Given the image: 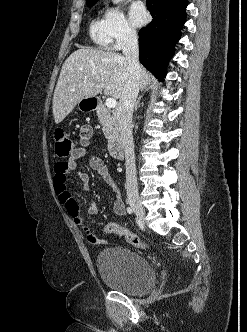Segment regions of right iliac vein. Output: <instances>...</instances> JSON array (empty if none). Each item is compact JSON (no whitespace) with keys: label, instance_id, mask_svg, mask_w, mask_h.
Segmentation results:
<instances>
[{"label":"right iliac vein","instance_id":"right-iliac-vein-1","mask_svg":"<svg viewBox=\"0 0 247 332\" xmlns=\"http://www.w3.org/2000/svg\"><path fill=\"white\" fill-rule=\"evenodd\" d=\"M130 206L132 207V209L134 210L135 214L137 215V217L144 222L145 220V209L142 206V204L140 203V201L136 200V199H131L129 201Z\"/></svg>","mask_w":247,"mask_h":332}]
</instances>
